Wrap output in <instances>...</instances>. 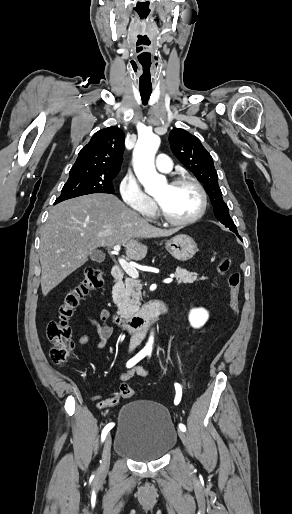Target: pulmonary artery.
I'll use <instances>...</instances> for the list:
<instances>
[{
	"instance_id": "obj_1",
	"label": "pulmonary artery",
	"mask_w": 292,
	"mask_h": 514,
	"mask_svg": "<svg viewBox=\"0 0 292 514\" xmlns=\"http://www.w3.org/2000/svg\"><path fill=\"white\" fill-rule=\"evenodd\" d=\"M156 156L158 160H161L157 163V170L159 172H169L173 162L172 158L168 157L166 152L162 150L158 151Z\"/></svg>"
}]
</instances>
